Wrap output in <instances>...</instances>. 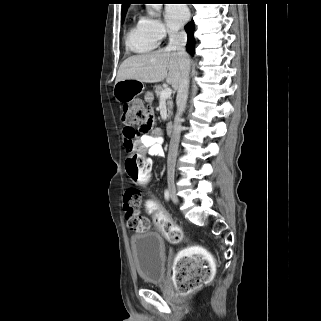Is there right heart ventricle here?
<instances>
[{"label": "right heart ventricle", "instance_id": "right-heart-ventricle-1", "mask_svg": "<svg viewBox=\"0 0 321 321\" xmlns=\"http://www.w3.org/2000/svg\"><path fill=\"white\" fill-rule=\"evenodd\" d=\"M126 48L137 54L148 53L157 47L158 40L145 28L143 20L137 19L129 26L125 36Z\"/></svg>", "mask_w": 321, "mask_h": 321}]
</instances>
